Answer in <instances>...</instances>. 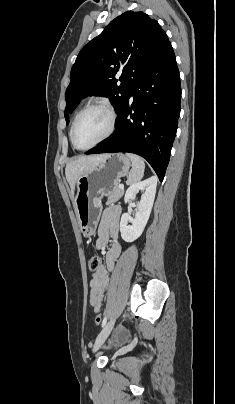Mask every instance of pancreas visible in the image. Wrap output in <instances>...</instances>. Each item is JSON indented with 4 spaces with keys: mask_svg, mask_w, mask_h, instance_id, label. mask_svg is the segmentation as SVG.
<instances>
[{
    "mask_svg": "<svg viewBox=\"0 0 235 404\" xmlns=\"http://www.w3.org/2000/svg\"><path fill=\"white\" fill-rule=\"evenodd\" d=\"M124 194V189H121L118 184H115L112 191L108 195V204L119 200Z\"/></svg>",
    "mask_w": 235,
    "mask_h": 404,
    "instance_id": "1",
    "label": "pancreas"
}]
</instances>
